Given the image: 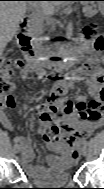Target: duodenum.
<instances>
[{"label": "duodenum", "mask_w": 104, "mask_h": 189, "mask_svg": "<svg viewBox=\"0 0 104 189\" xmlns=\"http://www.w3.org/2000/svg\"><path fill=\"white\" fill-rule=\"evenodd\" d=\"M33 27L34 19L26 18L23 21V28L18 36V45L27 57L29 67L37 74H42L43 62H41L37 57ZM80 52H82V50H80Z\"/></svg>", "instance_id": "obj_1"}]
</instances>
